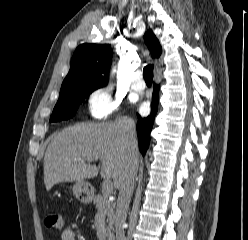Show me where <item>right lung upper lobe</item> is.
I'll use <instances>...</instances> for the list:
<instances>
[{"label":"right lung upper lobe","mask_w":248,"mask_h":240,"mask_svg":"<svg viewBox=\"0 0 248 240\" xmlns=\"http://www.w3.org/2000/svg\"><path fill=\"white\" fill-rule=\"evenodd\" d=\"M152 57L158 58L162 49L152 30L144 35ZM112 50L109 44L83 43L75 50L70 71L64 79L61 90L73 87L100 88L108 82Z\"/></svg>","instance_id":"obj_1"}]
</instances>
